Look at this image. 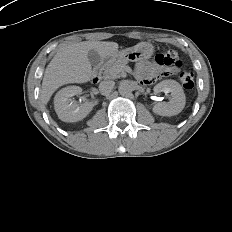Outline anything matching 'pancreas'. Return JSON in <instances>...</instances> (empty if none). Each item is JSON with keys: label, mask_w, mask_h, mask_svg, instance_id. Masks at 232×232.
I'll return each mask as SVG.
<instances>
[{"label": "pancreas", "mask_w": 232, "mask_h": 232, "mask_svg": "<svg viewBox=\"0 0 232 232\" xmlns=\"http://www.w3.org/2000/svg\"><path fill=\"white\" fill-rule=\"evenodd\" d=\"M126 64L127 61L122 59L109 60L101 67L103 77L106 79H116Z\"/></svg>", "instance_id": "obj_1"}]
</instances>
